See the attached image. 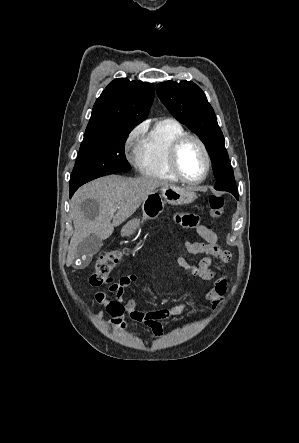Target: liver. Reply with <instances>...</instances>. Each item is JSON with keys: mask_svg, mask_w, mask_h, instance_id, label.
Here are the masks:
<instances>
[{"mask_svg": "<svg viewBox=\"0 0 299 443\" xmlns=\"http://www.w3.org/2000/svg\"><path fill=\"white\" fill-rule=\"evenodd\" d=\"M167 184L156 178L112 175L79 188L71 202L75 230L68 248L67 266L75 259L80 242L92 234L100 240L107 239L114 227L134 214L149 194ZM115 208L116 213L111 215L110 211Z\"/></svg>", "mask_w": 299, "mask_h": 443, "instance_id": "liver-1", "label": "liver"}]
</instances>
